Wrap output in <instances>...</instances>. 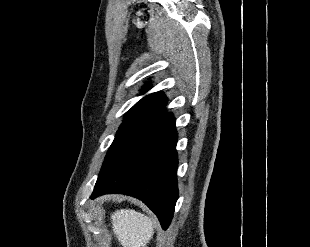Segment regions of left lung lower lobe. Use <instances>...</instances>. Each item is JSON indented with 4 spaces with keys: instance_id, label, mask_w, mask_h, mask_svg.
Wrapping results in <instances>:
<instances>
[{
    "instance_id": "1",
    "label": "left lung lower lobe",
    "mask_w": 310,
    "mask_h": 247,
    "mask_svg": "<svg viewBox=\"0 0 310 247\" xmlns=\"http://www.w3.org/2000/svg\"><path fill=\"white\" fill-rule=\"evenodd\" d=\"M175 118L167 113L128 145L100 175L91 199L121 193L142 200L167 229L178 199Z\"/></svg>"
}]
</instances>
